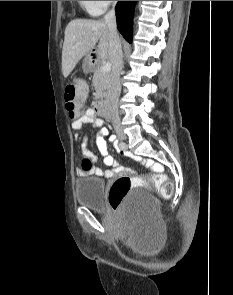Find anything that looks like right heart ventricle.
Listing matches in <instances>:
<instances>
[{
	"mask_svg": "<svg viewBox=\"0 0 233 295\" xmlns=\"http://www.w3.org/2000/svg\"><path fill=\"white\" fill-rule=\"evenodd\" d=\"M79 2V5L81 6V8L83 10H85L86 12L94 15L92 12H91V9H90V3L89 1H78Z\"/></svg>",
	"mask_w": 233,
	"mask_h": 295,
	"instance_id": "obj_1",
	"label": "right heart ventricle"
}]
</instances>
